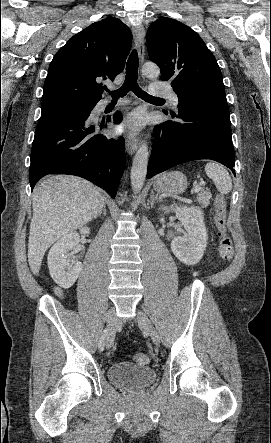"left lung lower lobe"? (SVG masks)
Here are the masks:
<instances>
[{
    "instance_id": "obj_1",
    "label": "left lung lower lobe",
    "mask_w": 271,
    "mask_h": 443,
    "mask_svg": "<svg viewBox=\"0 0 271 443\" xmlns=\"http://www.w3.org/2000/svg\"><path fill=\"white\" fill-rule=\"evenodd\" d=\"M186 93H192L187 91ZM196 101L179 98L178 114L184 122L166 121L156 125L157 143L148 164L147 178L181 163L210 159L233 169L235 153L226 99L209 94H196ZM168 114L167 111H164Z\"/></svg>"
}]
</instances>
